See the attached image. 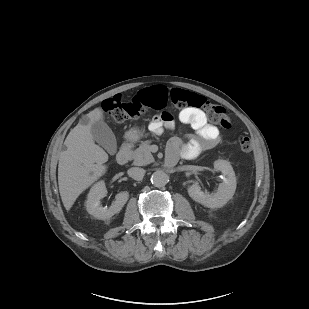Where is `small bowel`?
<instances>
[{
  "label": "small bowel",
  "instance_id": "small-bowel-1",
  "mask_svg": "<svg viewBox=\"0 0 309 309\" xmlns=\"http://www.w3.org/2000/svg\"><path fill=\"white\" fill-rule=\"evenodd\" d=\"M182 123L190 125L195 133L184 143L180 138H172L168 143L166 161L176 163L179 158L195 157L201 152L214 147L219 142V132L216 126L209 123L203 111L184 109L179 114ZM175 121L164 113L153 119L151 130L157 133L162 126L173 128Z\"/></svg>",
  "mask_w": 309,
  "mask_h": 309
}]
</instances>
